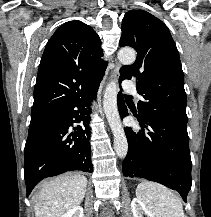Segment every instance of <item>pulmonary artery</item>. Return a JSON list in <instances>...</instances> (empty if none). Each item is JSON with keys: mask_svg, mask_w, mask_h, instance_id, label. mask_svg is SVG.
<instances>
[{"mask_svg": "<svg viewBox=\"0 0 211 217\" xmlns=\"http://www.w3.org/2000/svg\"><path fill=\"white\" fill-rule=\"evenodd\" d=\"M123 89L131 94H136V87L132 81L126 80L123 82Z\"/></svg>", "mask_w": 211, "mask_h": 217, "instance_id": "obj_1", "label": "pulmonary artery"}]
</instances>
